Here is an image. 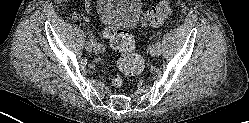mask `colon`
Here are the masks:
<instances>
[{
	"mask_svg": "<svg viewBox=\"0 0 249 123\" xmlns=\"http://www.w3.org/2000/svg\"><path fill=\"white\" fill-rule=\"evenodd\" d=\"M171 7L168 0H162L150 8L145 16L147 24L158 25L170 14ZM111 47L120 53L118 59V68L124 76H134L139 74L144 61L140 55L135 52L134 40L125 30H118L109 33ZM124 79L121 75H116L112 79V85L115 88L122 87Z\"/></svg>",
	"mask_w": 249,
	"mask_h": 123,
	"instance_id": "1",
	"label": "colon"
}]
</instances>
